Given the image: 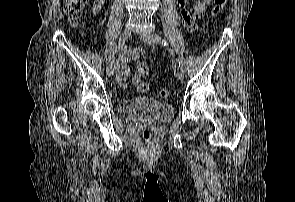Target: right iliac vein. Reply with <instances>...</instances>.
<instances>
[{
	"mask_svg": "<svg viewBox=\"0 0 295 202\" xmlns=\"http://www.w3.org/2000/svg\"><path fill=\"white\" fill-rule=\"evenodd\" d=\"M132 30L131 28H126L123 33L120 35L119 38V46L125 43L131 37ZM115 73V69L112 64H109L107 67V74L108 76H113Z\"/></svg>",
	"mask_w": 295,
	"mask_h": 202,
	"instance_id": "1",
	"label": "right iliac vein"
}]
</instances>
